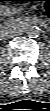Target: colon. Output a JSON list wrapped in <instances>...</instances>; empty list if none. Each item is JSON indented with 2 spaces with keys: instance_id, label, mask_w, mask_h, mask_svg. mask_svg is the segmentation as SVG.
<instances>
[{
  "instance_id": "5ec220e1",
  "label": "colon",
  "mask_w": 50,
  "mask_h": 111,
  "mask_svg": "<svg viewBox=\"0 0 50 111\" xmlns=\"http://www.w3.org/2000/svg\"><path fill=\"white\" fill-rule=\"evenodd\" d=\"M43 8L46 12H50V3L49 2H45L43 4Z\"/></svg>"
}]
</instances>
